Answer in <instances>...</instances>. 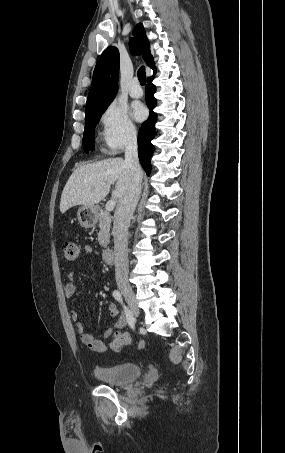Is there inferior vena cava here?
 I'll return each instance as SVG.
<instances>
[{
  "instance_id": "obj_1",
  "label": "inferior vena cava",
  "mask_w": 285,
  "mask_h": 453,
  "mask_svg": "<svg viewBox=\"0 0 285 453\" xmlns=\"http://www.w3.org/2000/svg\"><path fill=\"white\" fill-rule=\"evenodd\" d=\"M125 164L131 169L133 178L128 192L119 200L114 214L112 233L117 283L128 281V228L141 194L142 169L138 159L136 131L127 137Z\"/></svg>"
}]
</instances>
